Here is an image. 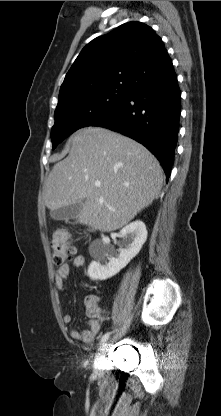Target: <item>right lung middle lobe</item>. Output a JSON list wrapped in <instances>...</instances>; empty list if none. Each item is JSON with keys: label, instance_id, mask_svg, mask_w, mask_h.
<instances>
[{"label": "right lung middle lobe", "instance_id": "1", "mask_svg": "<svg viewBox=\"0 0 221 416\" xmlns=\"http://www.w3.org/2000/svg\"><path fill=\"white\" fill-rule=\"evenodd\" d=\"M130 91L125 88H113L58 105L55 110V124L51 131L53 149L76 130L111 117Z\"/></svg>", "mask_w": 221, "mask_h": 416}]
</instances>
